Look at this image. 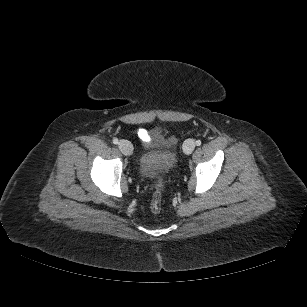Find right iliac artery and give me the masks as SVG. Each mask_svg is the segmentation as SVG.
Segmentation results:
<instances>
[{"instance_id":"1","label":"right iliac artery","mask_w":307,"mask_h":307,"mask_svg":"<svg viewBox=\"0 0 307 307\" xmlns=\"http://www.w3.org/2000/svg\"><path fill=\"white\" fill-rule=\"evenodd\" d=\"M113 143L117 145L119 143V140L115 138L113 139Z\"/></svg>"}]
</instances>
